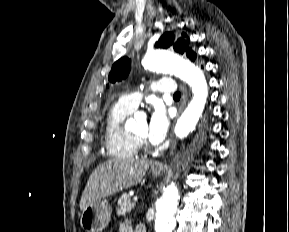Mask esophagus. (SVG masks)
<instances>
[{
	"label": "esophagus",
	"mask_w": 289,
	"mask_h": 232,
	"mask_svg": "<svg viewBox=\"0 0 289 232\" xmlns=\"http://www.w3.org/2000/svg\"><path fill=\"white\" fill-rule=\"evenodd\" d=\"M186 100H187V93H186V89L183 87L182 88V102H181V105L179 107V111H178V114H180L186 104ZM175 146H176V140H172L171 141V144H170V151H169V154L172 155L173 152H174V149H175ZM155 168L156 169H163V164L162 163H157L155 165Z\"/></svg>",
	"instance_id": "34e87169"
}]
</instances>
